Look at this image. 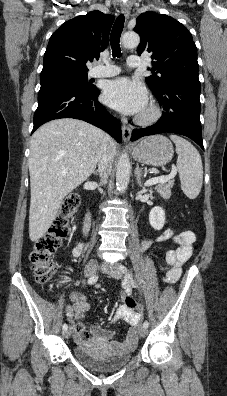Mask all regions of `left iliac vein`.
Instances as JSON below:
<instances>
[{
  "label": "left iliac vein",
  "instance_id": "obj_1",
  "mask_svg": "<svg viewBox=\"0 0 227 396\" xmlns=\"http://www.w3.org/2000/svg\"><path fill=\"white\" fill-rule=\"evenodd\" d=\"M102 270L115 279L122 278V272L120 270V266L117 264L110 265V266L104 265ZM138 334L140 337H145L147 335V328H145L144 326H141L138 330Z\"/></svg>",
  "mask_w": 227,
  "mask_h": 396
}]
</instances>
